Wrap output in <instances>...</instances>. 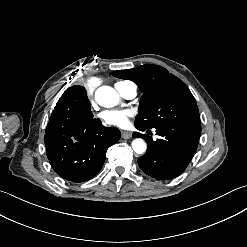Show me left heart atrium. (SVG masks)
<instances>
[{
	"mask_svg": "<svg viewBox=\"0 0 247 247\" xmlns=\"http://www.w3.org/2000/svg\"><path fill=\"white\" fill-rule=\"evenodd\" d=\"M132 116L133 112L128 109H109L100 115L105 124L117 127H125Z\"/></svg>",
	"mask_w": 247,
	"mask_h": 247,
	"instance_id": "left-heart-atrium-1",
	"label": "left heart atrium"
}]
</instances>
